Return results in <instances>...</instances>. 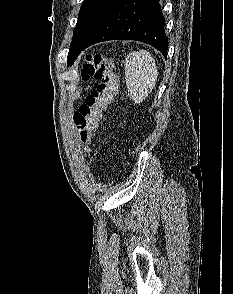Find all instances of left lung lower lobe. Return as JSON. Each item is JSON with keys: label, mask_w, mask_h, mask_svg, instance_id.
Returning <instances> with one entry per match:
<instances>
[{"label": "left lung lower lobe", "mask_w": 233, "mask_h": 294, "mask_svg": "<svg viewBox=\"0 0 233 294\" xmlns=\"http://www.w3.org/2000/svg\"><path fill=\"white\" fill-rule=\"evenodd\" d=\"M165 19L158 0H111L88 34L82 50L108 40H137L167 56Z\"/></svg>", "instance_id": "1"}]
</instances>
